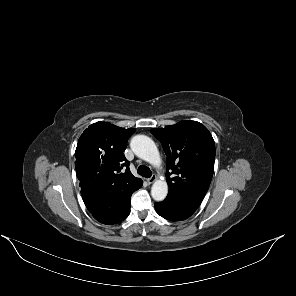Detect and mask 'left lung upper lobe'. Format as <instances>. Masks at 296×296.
Segmentation results:
<instances>
[{
    "label": "left lung upper lobe",
    "mask_w": 296,
    "mask_h": 296,
    "mask_svg": "<svg viewBox=\"0 0 296 296\" xmlns=\"http://www.w3.org/2000/svg\"><path fill=\"white\" fill-rule=\"evenodd\" d=\"M151 133L167 155L166 199L200 204L214 172L215 143L208 129L196 121H181Z\"/></svg>",
    "instance_id": "5c2ea615"
}]
</instances>
